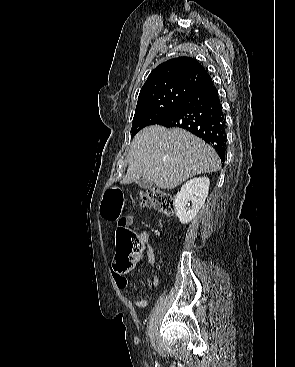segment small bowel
I'll use <instances>...</instances> for the list:
<instances>
[{
  "label": "small bowel",
  "mask_w": 295,
  "mask_h": 367,
  "mask_svg": "<svg viewBox=\"0 0 295 367\" xmlns=\"http://www.w3.org/2000/svg\"><path fill=\"white\" fill-rule=\"evenodd\" d=\"M132 224H133V217L131 215L125 216V217L121 218V220L119 222H117L116 230L120 226H124V227L128 228ZM142 239H143V242L145 243V245H147V235H144ZM147 258H148L149 264L152 267H155L156 266L155 256H154L153 252L151 251V249L149 247H147ZM111 271H112V276L114 278V281H115L117 287L121 290L127 288L128 285H129V280L125 276V274L119 272L116 269L114 264H112ZM146 283H147L148 286H157L159 284L158 277L153 276L151 279H148ZM132 303L137 308H145L148 305V301L145 300V299L133 300Z\"/></svg>",
  "instance_id": "1"
}]
</instances>
